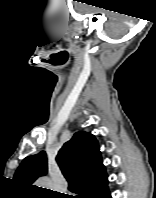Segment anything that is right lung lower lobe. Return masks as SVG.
<instances>
[{
  "label": "right lung lower lobe",
  "instance_id": "obj_1",
  "mask_svg": "<svg viewBox=\"0 0 156 198\" xmlns=\"http://www.w3.org/2000/svg\"><path fill=\"white\" fill-rule=\"evenodd\" d=\"M95 198H111L110 192L108 191V187L100 192Z\"/></svg>",
  "mask_w": 156,
  "mask_h": 198
}]
</instances>
